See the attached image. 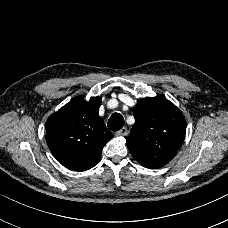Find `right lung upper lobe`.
<instances>
[{"label": "right lung upper lobe", "mask_w": 228, "mask_h": 228, "mask_svg": "<svg viewBox=\"0 0 228 228\" xmlns=\"http://www.w3.org/2000/svg\"><path fill=\"white\" fill-rule=\"evenodd\" d=\"M100 97L90 101L78 96L57 112L45 124L46 141L53 156L66 168L86 171L94 167L105 144L112 138L99 117Z\"/></svg>", "instance_id": "cb5924a9"}]
</instances>
